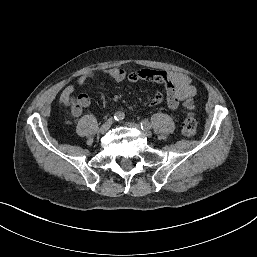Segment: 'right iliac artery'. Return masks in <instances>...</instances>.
<instances>
[{"label": "right iliac artery", "instance_id": "82829eb1", "mask_svg": "<svg viewBox=\"0 0 257 257\" xmlns=\"http://www.w3.org/2000/svg\"><path fill=\"white\" fill-rule=\"evenodd\" d=\"M114 119L116 121H120V120H123L124 119V113L123 112H116L115 115H114Z\"/></svg>", "mask_w": 257, "mask_h": 257}]
</instances>
